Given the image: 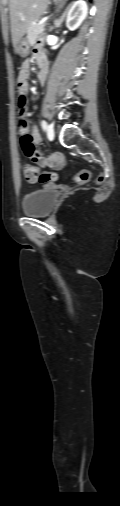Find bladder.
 Masks as SVG:
<instances>
[{
  "label": "bladder",
  "mask_w": 120,
  "mask_h": 506,
  "mask_svg": "<svg viewBox=\"0 0 120 506\" xmlns=\"http://www.w3.org/2000/svg\"><path fill=\"white\" fill-rule=\"evenodd\" d=\"M57 196V189L52 187L31 191L22 199V212L28 216L49 215Z\"/></svg>",
  "instance_id": "1"
}]
</instances>
